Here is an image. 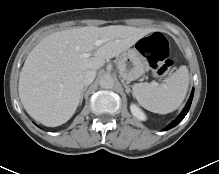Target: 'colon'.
Here are the masks:
<instances>
[{
	"instance_id": "5ec220e1",
	"label": "colon",
	"mask_w": 219,
	"mask_h": 174,
	"mask_svg": "<svg viewBox=\"0 0 219 174\" xmlns=\"http://www.w3.org/2000/svg\"><path fill=\"white\" fill-rule=\"evenodd\" d=\"M139 52L146 58L151 71L159 77L169 75L173 69L171 47L161 33H153L137 43Z\"/></svg>"
}]
</instances>
